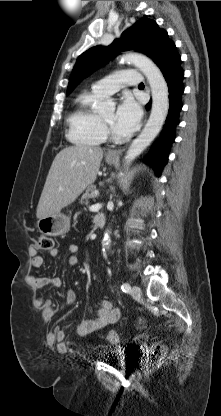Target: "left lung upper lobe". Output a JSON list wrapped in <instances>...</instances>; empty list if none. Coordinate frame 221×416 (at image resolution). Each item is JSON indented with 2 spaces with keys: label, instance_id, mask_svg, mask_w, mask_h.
<instances>
[{
  "label": "left lung upper lobe",
  "instance_id": "obj_1",
  "mask_svg": "<svg viewBox=\"0 0 221 416\" xmlns=\"http://www.w3.org/2000/svg\"><path fill=\"white\" fill-rule=\"evenodd\" d=\"M164 33L166 31L159 29L155 21L143 18L108 47L95 46L88 49L76 61L69 80L67 95L83 78L105 64L119 51L136 50L150 57Z\"/></svg>",
  "mask_w": 221,
  "mask_h": 416
}]
</instances>
